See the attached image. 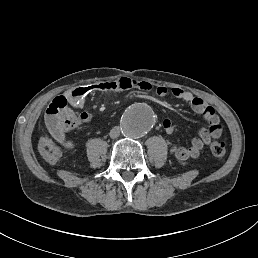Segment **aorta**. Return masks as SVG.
Returning <instances> with one entry per match:
<instances>
[{"mask_svg": "<svg viewBox=\"0 0 258 258\" xmlns=\"http://www.w3.org/2000/svg\"><path fill=\"white\" fill-rule=\"evenodd\" d=\"M152 109L142 103L132 105L121 118V130L125 137L136 139L144 136L154 125Z\"/></svg>", "mask_w": 258, "mask_h": 258, "instance_id": "obj_1", "label": "aorta"}]
</instances>
